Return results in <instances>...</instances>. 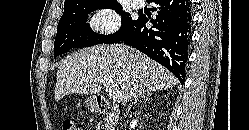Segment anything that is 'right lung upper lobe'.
Returning a JSON list of instances; mask_svg holds the SVG:
<instances>
[{
	"label": "right lung upper lobe",
	"instance_id": "cb5924a9",
	"mask_svg": "<svg viewBox=\"0 0 249 130\" xmlns=\"http://www.w3.org/2000/svg\"><path fill=\"white\" fill-rule=\"evenodd\" d=\"M117 2L116 0H65L64 9L79 10L96 3Z\"/></svg>",
	"mask_w": 249,
	"mask_h": 130
}]
</instances>
